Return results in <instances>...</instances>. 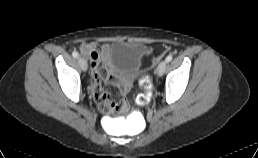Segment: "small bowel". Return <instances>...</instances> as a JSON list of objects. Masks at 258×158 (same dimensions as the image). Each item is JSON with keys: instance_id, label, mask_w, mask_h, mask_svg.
Instances as JSON below:
<instances>
[{"instance_id": "1", "label": "small bowel", "mask_w": 258, "mask_h": 158, "mask_svg": "<svg viewBox=\"0 0 258 158\" xmlns=\"http://www.w3.org/2000/svg\"><path fill=\"white\" fill-rule=\"evenodd\" d=\"M109 50L110 44L107 43L85 42L80 46V52L90 61L92 68L90 91L101 109L110 98L109 91L102 88L103 83L108 88L117 87L120 95H126L130 89V83L127 80H119L117 77L108 59Z\"/></svg>"}]
</instances>
